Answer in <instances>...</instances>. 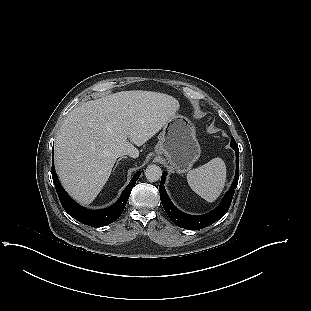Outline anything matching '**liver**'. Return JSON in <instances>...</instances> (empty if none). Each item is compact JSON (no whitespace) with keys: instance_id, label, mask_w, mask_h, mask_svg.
Wrapping results in <instances>:
<instances>
[{"instance_id":"obj_1","label":"liver","mask_w":311,"mask_h":311,"mask_svg":"<svg viewBox=\"0 0 311 311\" xmlns=\"http://www.w3.org/2000/svg\"><path fill=\"white\" fill-rule=\"evenodd\" d=\"M179 109L176 98L152 91H121L74 108L55 141V167L65 190L88 205L108 181L118 157L142 146ZM129 139L132 143L128 142Z\"/></svg>"}]
</instances>
